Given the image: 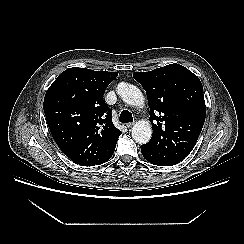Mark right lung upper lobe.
<instances>
[{
	"instance_id": "cb5924a9",
	"label": "right lung upper lobe",
	"mask_w": 244,
	"mask_h": 244,
	"mask_svg": "<svg viewBox=\"0 0 244 244\" xmlns=\"http://www.w3.org/2000/svg\"><path fill=\"white\" fill-rule=\"evenodd\" d=\"M117 72L69 68L45 94L44 112L50 132L61 151L81 166L106 162L122 133L112 123L103 100Z\"/></svg>"
}]
</instances>
